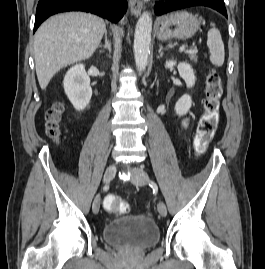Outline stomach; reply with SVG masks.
<instances>
[{"instance_id": "obj_1", "label": "stomach", "mask_w": 265, "mask_h": 269, "mask_svg": "<svg viewBox=\"0 0 265 269\" xmlns=\"http://www.w3.org/2000/svg\"><path fill=\"white\" fill-rule=\"evenodd\" d=\"M200 24L201 20L190 12L171 13L157 20V37L160 40L188 39L198 31Z\"/></svg>"}]
</instances>
